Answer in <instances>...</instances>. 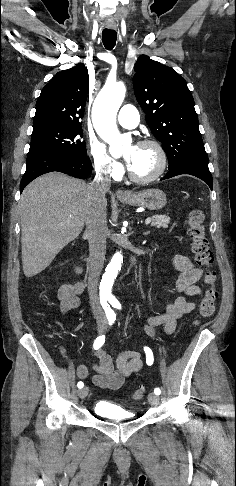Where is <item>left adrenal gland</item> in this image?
I'll return each mask as SVG.
<instances>
[{"instance_id": "obj_1", "label": "left adrenal gland", "mask_w": 236, "mask_h": 486, "mask_svg": "<svg viewBox=\"0 0 236 486\" xmlns=\"http://www.w3.org/2000/svg\"><path fill=\"white\" fill-rule=\"evenodd\" d=\"M147 234H149V231L144 233V235H147Z\"/></svg>"}]
</instances>
